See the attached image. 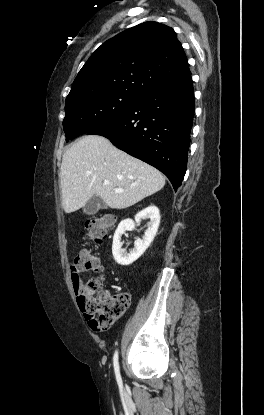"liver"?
I'll use <instances>...</instances> for the list:
<instances>
[{
    "label": "liver",
    "instance_id": "1",
    "mask_svg": "<svg viewBox=\"0 0 264 415\" xmlns=\"http://www.w3.org/2000/svg\"><path fill=\"white\" fill-rule=\"evenodd\" d=\"M59 177L65 213L84 207L94 195L110 208L125 209L165 185L160 171L99 135L83 136L65 151ZM116 188L123 192L116 193Z\"/></svg>",
    "mask_w": 264,
    "mask_h": 415
}]
</instances>
